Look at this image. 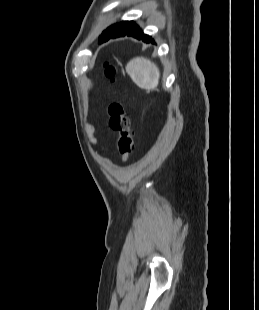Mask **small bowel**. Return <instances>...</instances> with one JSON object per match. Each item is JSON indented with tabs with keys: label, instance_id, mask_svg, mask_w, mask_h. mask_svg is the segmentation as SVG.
<instances>
[{
	"label": "small bowel",
	"instance_id": "small-bowel-1",
	"mask_svg": "<svg viewBox=\"0 0 259 310\" xmlns=\"http://www.w3.org/2000/svg\"><path fill=\"white\" fill-rule=\"evenodd\" d=\"M86 130H87V133H88V136L90 138V141L95 144L97 142L95 136H94V128L93 126L91 125H87L86 126Z\"/></svg>",
	"mask_w": 259,
	"mask_h": 310
}]
</instances>
